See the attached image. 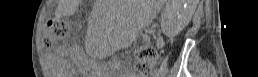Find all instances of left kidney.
I'll return each instance as SVG.
<instances>
[{"label":"left kidney","instance_id":"1","mask_svg":"<svg viewBox=\"0 0 258 77\" xmlns=\"http://www.w3.org/2000/svg\"><path fill=\"white\" fill-rule=\"evenodd\" d=\"M198 1L199 0H187L186 1L187 6L182 10L180 15H178L177 13L179 8H175L172 11H170V13L166 17V20L169 19L174 24H177L178 29L183 28L185 25H187L190 22L195 12V9L197 7ZM178 2H182V1H178Z\"/></svg>","mask_w":258,"mask_h":77}]
</instances>
